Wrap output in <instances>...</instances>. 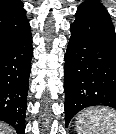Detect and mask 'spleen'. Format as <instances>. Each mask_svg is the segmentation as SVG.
<instances>
[{"label":"spleen","instance_id":"obj_1","mask_svg":"<svg viewBox=\"0 0 116 134\" xmlns=\"http://www.w3.org/2000/svg\"><path fill=\"white\" fill-rule=\"evenodd\" d=\"M75 124L77 134H116V111L87 108L77 116Z\"/></svg>","mask_w":116,"mask_h":134}]
</instances>
